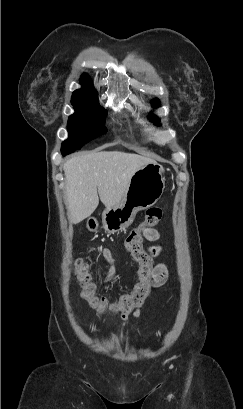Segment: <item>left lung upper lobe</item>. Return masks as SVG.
I'll use <instances>...</instances> for the list:
<instances>
[{"label": "left lung upper lobe", "instance_id": "left-lung-upper-lobe-1", "mask_svg": "<svg viewBox=\"0 0 243 409\" xmlns=\"http://www.w3.org/2000/svg\"><path fill=\"white\" fill-rule=\"evenodd\" d=\"M159 104H160L159 99L155 98V99L152 100V105H153V106H159ZM149 119H150L151 121H153L154 123H157V125L159 124L158 119H157L156 116L150 115V116H149Z\"/></svg>", "mask_w": 243, "mask_h": 409}]
</instances>
